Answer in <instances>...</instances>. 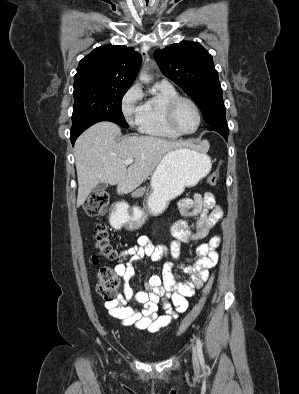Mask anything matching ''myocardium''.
I'll return each mask as SVG.
<instances>
[{
	"mask_svg": "<svg viewBox=\"0 0 299 394\" xmlns=\"http://www.w3.org/2000/svg\"><path fill=\"white\" fill-rule=\"evenodd\" d=\"M182 102L189 103L194 108L198 116V124L196 128L190 132L182 131L176 124V110ZM165 119L168 127L178 135H191L196 133L201 127L202 113L199 106L192 99L183 96H177L167 103L165 107Z\"/></svg>",
	"mask_w": 299,
	"mask_h": 394,
	"instance_id": "obj_1",
	"label": "myocardium"
}]
</instances>
